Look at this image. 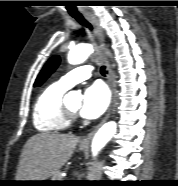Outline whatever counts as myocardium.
Returning <instances> with one entry per match:
<instances>
[{
	"instance_id": "obj_1",
	"label": "myocardium",
	"mask_w": 178,
	"mask_h": 186,
	"mask_svg": "<svg viewBox=\"0 0 178 186\" xmlns=\"http://www.w3.org/2000/svg\"><path fill=\"white\" fill-rule=\"evenodd\" d=\"M62 117L68 126L76 123L78 120L77 113L72 112L64 103L62 106Z\"/></svg>"
}]
</instances>
